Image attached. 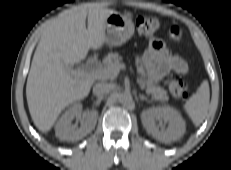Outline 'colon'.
I'll use <instances>...</instances> for the list:
<instances>
[{"label":"colon","mask_w":231,"mask_h":170,"mask_svg":"<svg viewBox=\"0 0 231 170\" xmlns=\"http://www.w3.org/2000/svg\"><path fill=\"white\" fill-rule=\"evenodd\" d=\"M160 23L156 17L141 15L136 19L138 32L144 37L152 36L159 28ZM168 91L175 97L187 98L189 96V82L176 75L166 81Z\"/></svg>","instance_id":"obj_1"}]
</instances>
